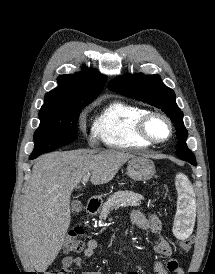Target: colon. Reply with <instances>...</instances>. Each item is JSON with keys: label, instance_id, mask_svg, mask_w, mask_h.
I'll return each mask as SVG.
<instances>
[{"label": "colon", "instance_id": "colon-1", "mask_svg": "<svg viewBox=\"0 0 215 274\" xmlns=\"http://www.w3.org/2000/svg\"><path fill=\"white\" fill-rule=\"evenodd\" d=\"M81 234L82 231L79 228L72 229L68 232L63 245V252L65 254L77 253L83 249V243L80 239ZM180 245L183 250L188 251L192 246V242L190 240H185L182 241ZM49 274H64V270L61 269L55 272H51Z\"/></svg>", "mask_w": 215, "mask_h": 274}]
</instances>
